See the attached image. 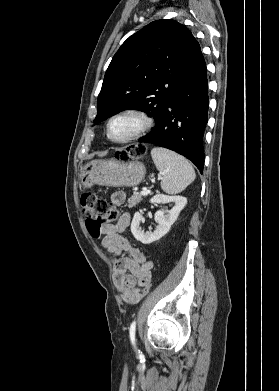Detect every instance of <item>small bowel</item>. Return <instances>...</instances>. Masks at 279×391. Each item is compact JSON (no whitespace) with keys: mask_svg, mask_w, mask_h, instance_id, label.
Listing matches in <instances>:
<instances>
[{"mask_svg":"<svg viewBox=\"0 0 279 391\" xmlns=\"http://www.w3.org/2000/svg\"><path fill=\"white\" fill-rule=\"evenodd\" d=\"M125 199L126 194L123 191H116L111 195V202L114 205L123 204ZM130 221V214L124 213L116 223H111L110 220L104 222L100 232L103 235L102 247L107 252L116 256L129 255L114 261L113 278L122 299L129 304H136L143 297L141 293L143 287L151 282L153 261L139 249L131 247L122 235Z\"/></svg>","mask_w":279,"mask_h":391,"instance_id":"c3829d8e","label":"small bowel"}]
</instances>
